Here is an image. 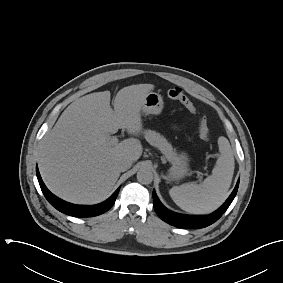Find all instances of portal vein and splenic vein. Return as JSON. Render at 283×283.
<instances>
[{
    "mask_svg": "<svg viewBox=\"0 0 283 283\" xmlns=\"http://www.w3.org/2000/svg\"><path fill=\"white\" fill-rule=\"evenodd\" d=\"M110 143H111L112 145L118 144V138H117V137H112V138H110Z\"/></svg>",
    "mask_w": 283,
    "mask_h": 283,
    "instance_id": "1",
    "label": "portal vein and splenic vein"
}]
</instances>
